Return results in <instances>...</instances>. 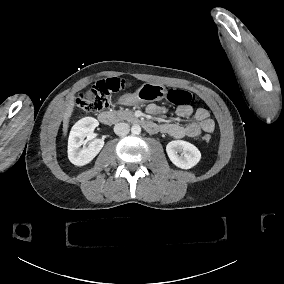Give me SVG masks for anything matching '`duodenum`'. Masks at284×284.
Listing matches in <instances>:
<instances>
[{
  "instance_id": "obj_1",
  "label": "duodenum",
  "mask_w": 284,
  "mask_h": 284,
  "mask_svg": "<svg viewBox=\"0 0 284 284\" xmlns=\"http://www.w3.org/2000/svg\"><path fill=\"white\" fill-rule=\"evenodd\" d=\"M97 119L99 120L100 123L104 125H113L116 121V117L112 112L105 111L101 112L97 115ZM136 123L139 125L146 126V122L142 121L141 119L137 118Z\"/></svg>"
}]
</instances>
